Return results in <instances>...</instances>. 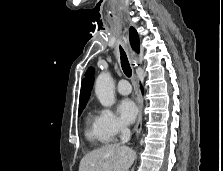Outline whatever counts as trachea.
I'll list each match as a JSON object with an SVG mask.
<instances>
[{"label":"trachea","mask_w":223,"mask_h":171,"mask_svg":"<svg viewBox=\"0 0 223 171\" xmlns=\"http://www.w3.org/2000/svg\"><path fill=\"white\" fill-rule=\"evenodd\" d=\"M120 53H121L120 58H121L122 70L127 77H131L132 69H131L130 63L128 61L127 55H126V53H125V51L123 50L122 47H120Z\"/></svg>","instance_id":"trachea-1"}]
</instances>
